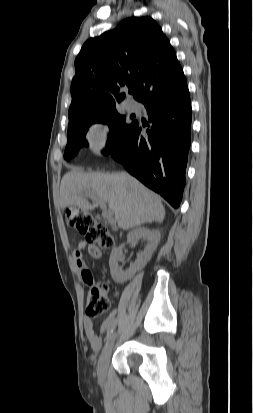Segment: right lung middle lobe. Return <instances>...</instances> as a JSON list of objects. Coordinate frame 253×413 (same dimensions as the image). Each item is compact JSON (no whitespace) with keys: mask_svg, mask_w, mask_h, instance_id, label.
Masks as SVG:
<instances>
[{"mask_svg":"<svg viewBox=\"0 0 253 413\" xmlns=\"http://www.w3.org/2000/svg\"><path fill=\"white\" fill-rule=\"evenodd\" d=\"M108 124L110 128L109 139L105 154L112 151L134 126L135 121L129 123L126 116L120 115L116 106L95 110L76 119L70 120L68 125V141L64 152L66 160L76 156L82 146H86V132L93 123Z\"/></svg>","mask_w":253,"mask_h":413,"instance_id":"right-lung-middle-lobe-1","label":"right lung middle lobe"}]
</instances>
